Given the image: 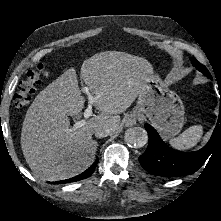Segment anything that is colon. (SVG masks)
<instances>
[{"instance_id":"5ec220e1","label":"colon","mask_w":221,"mask_h":221,"mask_svg":"<svg viewBox=\"0 0 221 221\" xmlns=\"http://www.w3.org/2000/svg\"><path fill=\"white\" fill-rule=\"evenodd\" d=\"M49 74L48 68L44 65L37 66L36 69L30 71L26 78L20 83L18 92L14 98V104L17 108L26 107L37 86H39L44 78Z\"/></svg>"}]
</instances>
